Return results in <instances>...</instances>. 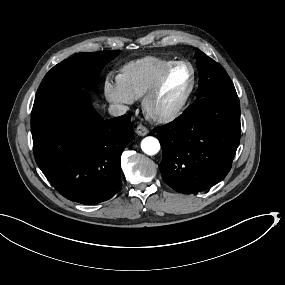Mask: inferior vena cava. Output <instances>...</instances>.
<instances>
[{"label": "inferior vena cava", "mask_w": 285, "mask_h": 285, "mask_svg": "<svg viewBox=\"0 0 285 285\" xmlns=\"http://www.w3.org/2000/svg\"><path fill=\"white\" fill-rule=\"evenodd\" d=\"M128 110V106L118 103H113L108 108L109 114L115 117L124 115Z\"/></svg>", "instance_id": "inferior-vena-cava-1"}]
</instances>
